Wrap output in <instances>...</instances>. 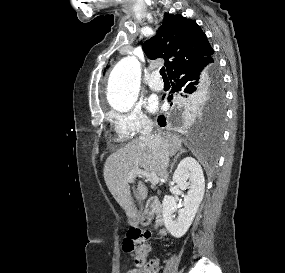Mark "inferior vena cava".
Instances as JSON below:
<instances>
[{
  "instance_id": "1",
  "label": "inferior vena cava",
  "mask_w": 285,
  "mask_h": 273,
  "mask_svg": "<svg viewBox=\"0 0 285 273\" xmlns=\"http://www.w3.org/2000/svg\"><path fill=\"white\" fill-rule=\"evenodd\" d=\"M152 131V122L150 120L144 121L139 139L151 143L156 148L162 167L167 168L169 165V158L162 144L161 135L159 133H153Z\"/></svg>"
}]
</instances>
